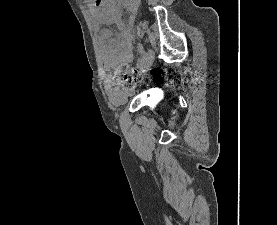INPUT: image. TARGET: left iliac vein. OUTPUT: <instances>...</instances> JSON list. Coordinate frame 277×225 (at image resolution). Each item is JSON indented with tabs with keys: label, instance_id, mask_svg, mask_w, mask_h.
Instances as JSON below:
<instances>
[{
	"label": "left iliac vein",
	"instance_id": "1",
	"mask_svg": "<svg viewBox=\"0 0 277 225\" xmlns=\"http://www.w3.org/2000/svg\"><path fill=\"white\" fill-rule=\"evenodd\" d=\"M154 59V52L152 49H148L147 53L145 54L143 65H142V72H147L151 67Z\"/></svg>",
	"mask_w": 277,
	"mask_h": 225
}]
</instances>
